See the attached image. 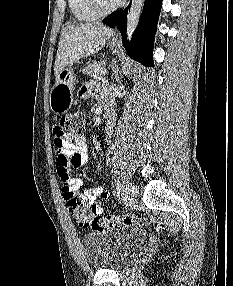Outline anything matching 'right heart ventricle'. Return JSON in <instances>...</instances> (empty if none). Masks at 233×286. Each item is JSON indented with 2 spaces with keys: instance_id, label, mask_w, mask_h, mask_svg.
Returning a JSON list of instances; mask_svg holds the SVG:
<instances>
[{
  "instance_id": "e07e8e85",
  "label": "right heart ventricle",
  "mask_w": 233,
  "mask_h": 286,
  "mask_svg": "<svg viewBox=\"0 0 233 286\" xmlns=\"http://www.w3.org/2000/svg\"><path fill=\"white\" fill-rule=\"evenodd\" d=\"M68 5L73 17L79 22H92L98 18L88 0H68Z\"/></svg>"
}]
</instances>
